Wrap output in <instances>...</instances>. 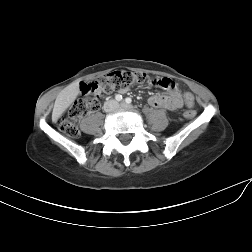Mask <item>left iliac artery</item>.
Instances as JSON below:
<instances>
[{
  "label": "left iliac artery",
  "instance_id": "44dca946",
  "mask_svg": "<svg viewBox=\"0 0 252 252\" xmlns=\"http://www.w3.org/2000/svg\"><path fill=\"white\" fill-rule=\"evenodd\" d=\"M125 102H126L127 104H130V103L132 102V99L129 98V97H127V98L125 99Z\"/></svg>",
  "mask_w": 252,
  "mask_h": 252
}]
</instances>
